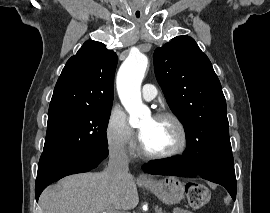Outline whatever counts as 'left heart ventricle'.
I'll list each match as a JSON object with an SVG mask.
<instances>
[{"mask_svg":"<svg viewBox=\"0 0 270 213\" xmlns=\"http://www.w3.org/2000/svg\"><path fill=\"white\" fill-rule=\"evenodd\" d=\"M142 144L152 153L169 152L180 144V133L175 124L167 119L148 118L139 127Z\"/></svg>","mask_w":270,"mask_h":213,"instance_id":"obj_1","label":"left heart ventricle"}]
</instances>
